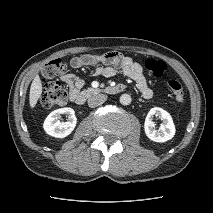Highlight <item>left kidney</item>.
<instances>
[{
    "mask_svg": "<svg viewBox=\"0 0 213 213\" xmlns=\"http://www.w3.org/2000/svg\"><path fill=\"white\" fill-rule=\"evenodd\" d=\"M153 115L159 116V118L162 120V124L159 130H156L154 128L155 123L152 121ZM144 130L146 136L150 140L159 143H164L172 139L176 132L171 115L167 111L159 107H154L148 112L144 123Z\"/></svg>",
    "mask_w": 213,
    "mask_h": 213,
    "instance_id": "5707ae66",
    "label": "left kidney"
}]
</instances>
